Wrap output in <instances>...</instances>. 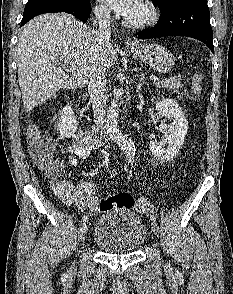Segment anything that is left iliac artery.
Wrapping results in <instances>:
<instances>
[{"mask_svg":"<svg viewBox=\"0 0 233 294\" xmlns=\"http://www.w3.org/2000/svg\"><path fill=\"white\" fill-rule=\"evenodd\" d=\"M150 219H151L152 221H156L157 218H156L155 215H151V216H150Z\"/></svg>","mask_w":233,"mask_h":294,"instance_id":"obj_1","label":"left iliac artery"}]
</instances>
